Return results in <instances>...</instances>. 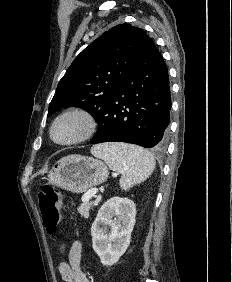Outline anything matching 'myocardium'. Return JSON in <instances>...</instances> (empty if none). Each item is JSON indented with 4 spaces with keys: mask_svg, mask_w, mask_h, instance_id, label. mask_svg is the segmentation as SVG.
I'll return each instance as SVG.
<instances>
[{
    "mask_svg": "<svg viewBox=\"0 0 232 282\" xmlns=\"http://www.w3.org/2000/svg\"><path fill=\"white\" fill-rule=\"evenodd\" d=\"M76 120L80 122L81 129L73 137L59 140L55 137L54 131L62 122ZM97 130V120L94 115L84 108H70L58 114L49 127V138L57 146L68 147L81 144L89 140Z\"/></svg>",
    "mask_w": 232,
    "mask_h": 282,
    "instance_id": "myocardium-1",
    "label": "myocardium"
}]
</instances>
